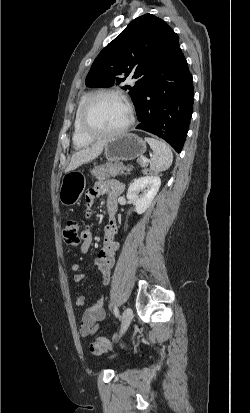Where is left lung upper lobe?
Returning <instances> with one entry per match:
<instances>
[{
  "mask_svg": "<svg viewBox=\"0 0 250 413\" xmlns=\"http://www.w3.org/2000/svg\"><path fill=\"white\" fill-rule=\"evenodd\" d=\"M178 35L162 19L145 14L134 19L124 31L96 57L86 77L90 87H111L133 75L135 86L129 90L133 102L142 86L164 66L166 48Z\"/></svg>",
  "mask_w": 250,
  "mask_h": 413,
  "instance_id": "left-lung-upper-lobe-1",
  "label": "left lung upper lobe"
}]
</instances>
